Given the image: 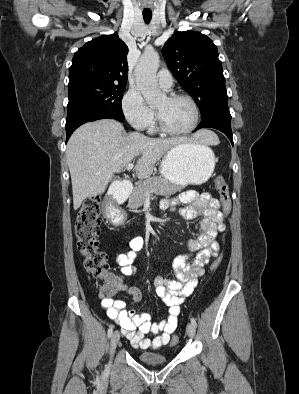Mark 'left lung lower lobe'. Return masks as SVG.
<instances>
[{
    "instance_id": "1",
    "label": "left lung lower lobe",
    "mask_w": 299,
    "mask_h": 394,
    "mask_svg": "<svg viewBox=\"0 0 299 394\" xmlns=\"http://www.w3.org/2000/svg\"><path fill=\"white\" fill-rule=\"evenodd\" d=\"M215 128L223 132L231 141L233 145L232 131H231V115L228 108H219L212 113L202 118L197 131L201 128Z\"/></svg>"
}]
</instances>
